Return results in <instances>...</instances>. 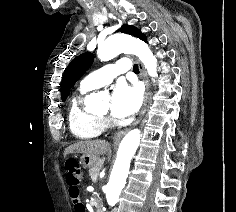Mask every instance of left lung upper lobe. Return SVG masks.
Here are the masks:
<instances>
[{"label":"left lung upper lobe","instance_id":"5c2ea615","mask_svg":"<svg viewBox=\"0 0 236 212\" xmlns=\"http://www.w3.org/2000/svg\"><path fill=\"white\" fill-rule=\"evenodd\" d=\"M122 33H127L136 36L142 40L146 37L141 31L132 25H123L120 28ZM93 63V55L90 52L83 53L77 56L66 68L61 84L62 100H65L69 94V90L83 76Z\"/></svg>","mask_w":236,"mask_h":212}]
</instances>
